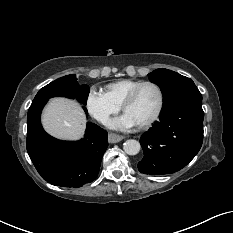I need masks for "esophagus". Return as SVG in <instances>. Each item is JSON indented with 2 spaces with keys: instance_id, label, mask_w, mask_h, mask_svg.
Returning <instances> with one entry per match:
<instances>
[{
  "instance_id": "obj_1",
  "label": "esophagus",
  "mask_w": 233,
  "mask_h": 233,
  "mask_svg": "<svg viewBox=\"0 0 233 233\" xmlns=\"http://www.w3.org/2000/svg\"><path fill=\"white\" fill-rule=\"evenodd\" d=\"M123 139V136L113 133V132H109L108 133V142L109 143H118Z\"/></svg>"
}]
</instances>
